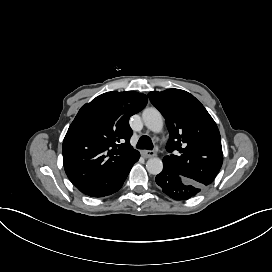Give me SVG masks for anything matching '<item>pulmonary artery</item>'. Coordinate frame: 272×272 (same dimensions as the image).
Masks as SVG:
<instances>
[{"label":"pulmonary artery","mask_w":272,"mask_h":272,"mask_svg":"<svg viewBox=\"0 0 272 272\" xmlns=\"http://www.w3.org/2000/svg\"><path fill=\"white\" fill-rule=\"evenodd\" d=\"M164 145L167 147V149L173 154L175 151L171 148V146L169 145V142L166 140L164 142Z\"/></svg>","instance_id":"e3ab8cb5"}]
</instances>
